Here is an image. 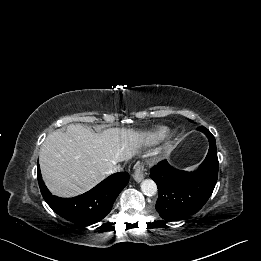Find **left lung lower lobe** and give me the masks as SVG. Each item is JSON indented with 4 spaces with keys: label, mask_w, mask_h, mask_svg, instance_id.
Wrapping results in <instances>:
<instances>
[{
    "label": "left lung lower lobe",
    "mask_w": 261,
    "mask_h": 261,
    "mask_svg": "<svg viewBox=\"0 0 261 261\" xmlns=\"http://www.w3.org/2000/svg\"><path fill=\"white\" fill-rule=\"evenodd\" d=\"M209 140V151L195 172L180 171L166 160L150 171L158 187L156 210L165 220H179L198 212L211 196L218 176V158L214 136L203 126L198 128Z\"/></svg>",
    "instance_id": "1"
}]
</instances>
